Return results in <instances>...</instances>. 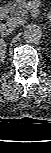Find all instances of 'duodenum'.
Here are the masks:
<instances>
[{
    "instance_id": "duodenum-1",
    "label": "duodenum",
    "mask_w": 51,
    "mask_h": 153,
    "mask_svg": "<svg viewBox=\"0 0 51 153\" xmlns=\"http://www.w3.org/2000/svg\"><path fill=\"white\" fill-rule=\"evenodd\" d=\"M7 10L5 7L0 9V18L3 19L6 16Z\"/></svg>"
}]
</instances>
